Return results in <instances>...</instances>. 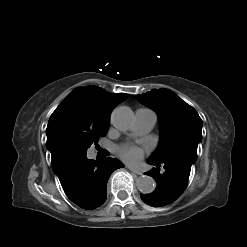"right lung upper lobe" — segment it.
Returning a JSON list of instances; mask_svg holds the SVG:
<instances>
[{
    "label": "right lung upper lobe",
    "instance_id": "right-lung-upper-lobe-1",
    "mask_svg": "<svg viewBox=\"0 0 247 247\" xmlns=\"http://www.w3.org/2000/svg\"><path fill=\"white\" fill-rule=\"evenodd\" d=\"M128 97L129 94L109 93L93 85L74 89L59 104L49 119L46 145L51 156L54 157L61 153L55 140V130L63 117L71 116L92 123L110 124V114L113 108Z\"/></svg>",
    "mask_w": 247,
    "mask_h": 247
}]
</instances>
